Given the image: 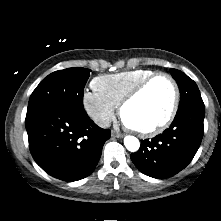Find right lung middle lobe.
Wrapping results in <instances>:
<instances>
[{
	"label": "right lung middle lobe",
	"mask_w": 221,
	"mask_h": 221,
	"mask_svg": "<svg viewBox=\"0 0 221 221\" xmlns=\"http://www.w3.org/2000/svg\"><path fill=\"white\" fill-rule=\"evenodd\" d=\"M90 71L75 67L49 74L31 94L27 113L57 105L83 108V90Z\"/></svg>",
	"instance_id": "dd1d6c3e"
}]
</instances>
